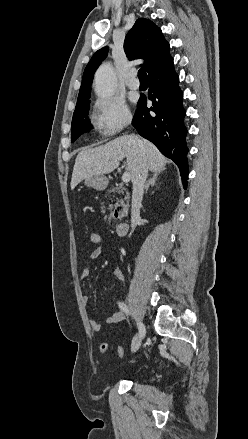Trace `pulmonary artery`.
<instances>
[{
  "instance_id": "obj_1",
  "label": "pulmonary artery",
  "mask_w": 248,
  "mask_h": 439,
  "mask_svg": "<svg viewBox=\"0 0 248 439\" xmlns=\"http://www.w3.org/2000/svg\"><path fill=\"white\" fill-rule=\"evenodd\" d=\"M126 85L128 88L132 89V90H136L139 88L140 83L139 80L136 77V72L135 71H130L128 74V78L126 81Z\"/></svg>"
}]
</instances>
